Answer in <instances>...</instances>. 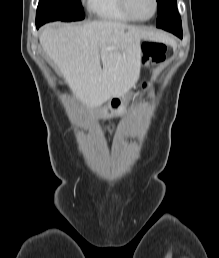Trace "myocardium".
I'll list each match as a JSON object with an SVG mask.
<instances>
[{"label":"myocardium","instance_id":"obj_1","mask_svg":"<svg viewBox=\"0 0 219 258\" xmlns=\"http://www.w3.org/2000/svg\"><path fill=\"white\" fill-rule=\"evenodd\" d=\"M121 3V7L123 9V11L133 20V21H138V22H146L151 20L152 18H154V16L156 15L158 8H159V3L158 0H153L154 3V10L153 13L151 14V16L147 17V18H139L137 16L134 15V13L132 12L130 5H129V0H120Z\"/></svg>","mask_w":219,"mask_h":258}]
</instances>
